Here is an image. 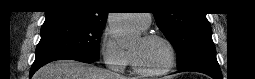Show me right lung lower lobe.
<instances>
[{"label": "right lung lower lobe", "instance_id": "obj_1", "mask_svg": "<svg viewBox=\"0 0 255 79\" xmlns=\"http://www.w3.org/2000/svg\"><path fill=\"white\" fill-rule=\"evenodd\" d=\"M63 59L76 60V61H80V62H84V63L95 62L94 60H90V59L78 57V56H73V55H63V54L49 55V56L35 59L32 67H31V70H30V77H32V75L43 65H45L49 62L55 61V60H63Z\"/></svg>", "mask_w": 255, "mask_h": 79}]
</instances>
